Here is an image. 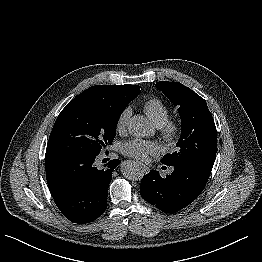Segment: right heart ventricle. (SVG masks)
I'll use <instances>...</instances> for the list:
<instances>
[{
    "label": "right heart ventricle",
    "instance_id": "right-heart-ventricle-1",
    "mask_svg": "<svg viewBox=\"0 0 262 262\" xmlns=\"http://www.w3.org/2000/svg\"><path fill=\"white\" fill-rule=\"evenodd\" d=\"M144 112L152 123L161 128L169 121V109L159 98H151L144 103Z\"/></svg>",
    "mask_w": 262,
    "mask_h": 262
}]
</instances>
